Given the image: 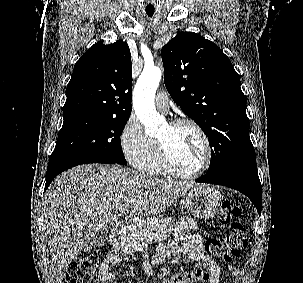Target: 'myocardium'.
I'll list each match as a JSON object with an SVG mask.
<instances>
[{"label": "myocardium", "instance_id": "f54148a6", "mask_svg": "<svg viewBox=\"0 0 303 283\" xmlns=\"http://www.w3.org/2000/svg\"><path fill=\"white\" fill-rule=\"evenodd\" d=\"M168 125L172 128H177L181 126L192 127L198 133V135L202 140L205 155H204L203 164L198 170L190 173L182 172L178 170L173 164L167 146L159 139H156L159 160L162 168L164 169L165 172L177 178L195 179L202 176L209 169L212 161V146L208 135L197 122L191 119H187V118L176 119L170 122Z\"/></svg>", "mask_w": 303, "mask_h": 283}]
</instances>
